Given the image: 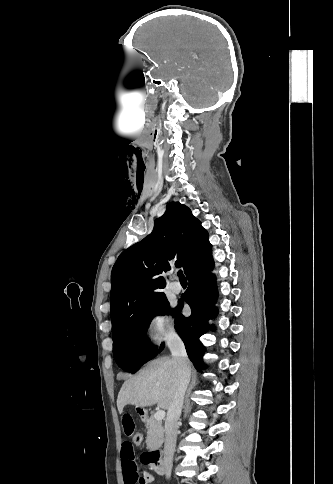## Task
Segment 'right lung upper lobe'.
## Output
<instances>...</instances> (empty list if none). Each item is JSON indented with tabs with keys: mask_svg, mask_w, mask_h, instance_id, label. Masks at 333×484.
<instances>
[{
	"mask_svg": "<svg viewBox=\"0 0 333 484\" xmlns=\"http://www.w3.org/2000/svg\"><path fill=\"white\" fill-rule=\"evenodd\" d=\"M211 254L208 233L191 210L179 202L167 205L154 229L142 241L123 251L111 274L112 334L138 309L165 295L163 274L174 259L186 276Z\"/></svg>",
	"mask_w": 333,
	"mask_h": 484,
	"instance_id": "obj_1",
	"label": "right lung upper lobe"
}]
</instances>
